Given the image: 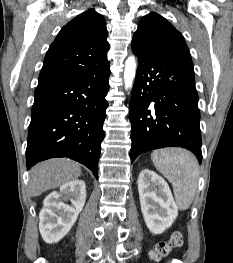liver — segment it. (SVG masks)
I'll return each mask as SVG.
<instances>
[{
  "instance_id": "liver-1",
  "label": "liver",
  "mask_w": 233,
  "mask_h": 263,
  "mask_svg": "<svg viewBox=\"0 0 233 263\" xmlns=\"http://www.w3.org/2000/svg\"><path fill=\"white\" fill-rule=\"evenodd\" d=\"M81 175L79 164L68 159H51L30 170L28 191L31 196L60 187Z\"/></svg>"
}]
</instances>
